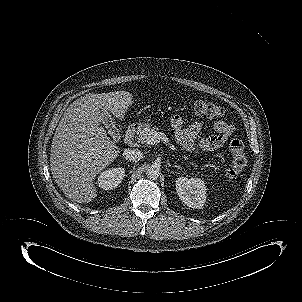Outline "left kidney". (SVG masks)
Masks as SVG:
<instances>
[{"label": "left kidney", "instance_id": "left-kidney-1", "mask_svg": "<svg viewBox=\"0 0 302 302\" xmlns=\"http://www.w3.org/2000/svg\"><path fill=\"white\" fill-rule=\"evenodd\" d=\"M206 185L200 178L180 177L176 180V191L180 200L190 208L201 209L206 202Z\"/></svg>", "mask_w": 302, "mask_h": 302}]
</instances>
